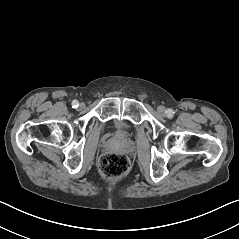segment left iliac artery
I'll return each instance as SVG.
<instances>
[{
    "label": "left iliac artery",
    "instance_id": "obj_1",
    "mask_svg": "<svg viewBox=\"0 0 239 239\" xmlns=\"http://www.w3.org/2000/svg\"><path fill=\"white\" fill-rule=\"evenodd\" d=\"M167 115H168V117H172L174 115L173 109H168L167 110Z\"/></svg>",
    "mask_w": 239,
    "mask_h": 239
}]
</instances>
